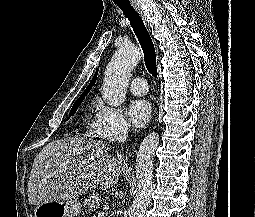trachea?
<instances>
[{"label":"trachea","mask_w":255,"mask_h":217,"mask_svg":"<svg viewBox=\"0 0 255 217\" xmlns=\"http://www.w3.org/2000/svg\"><path fill=\"white\" fill-rule=\"evenodd\" d=\"M118 7L123 11L124 15L130 21V24L137 36L139 43L144 53L145 65L148 72L153 76L157 77V63L156 53L154 44L150 37L148 30L146 29L144 22L137 11L133 8L130 3L117 4Z\"/></svg>","instance_id":"3493384b"}]
</instances>
